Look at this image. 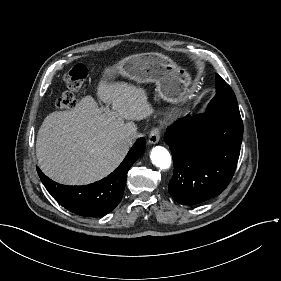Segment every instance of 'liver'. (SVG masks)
Returning <instances> with one entry per match:
<instances>
[{
    "label": "liver",
    "mask_w": 281,
    "mask_h": 281,
    "mask_svg": "<svg viewBox=\"0 0 281 281\" xmlns=\"http://www.w3.org/2000/svg\"><path fill=\"white\" fill-rule=\"evenodd\" d=\"M99 96L113 112L104 115L92 97L81 99L71 111L48 114L37 133L36 157L42 172L65 185H88L117 168L132 145L120 139L137 134L139 120L151 114L142 89L126 84L106 88Z\"/></svg>",
    "instance_id": "6515ba94"
}]
</instances>
